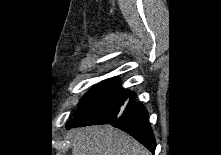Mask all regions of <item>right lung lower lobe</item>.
I'll return each instance as SVG.
<instances>
[{"mask_svg": "<svg viewBox=\"0 0 221 155\" xmlns=\"http://www.w3.org/2000/svg\"><path fill=\"white\" fill-rule=\"evenodd\" d=\"M135 97V93L120 86L118 79H112L95 109L74 127L111 124L133 136L154 153L156 143L148 113L142 104L134 102Z\"/></svg>", "mask_w": 221, "mask_h": 155, "instance_id": "right-lung-lower-lobe-1", "label": "right lung lower lobe"}]
</instances>
